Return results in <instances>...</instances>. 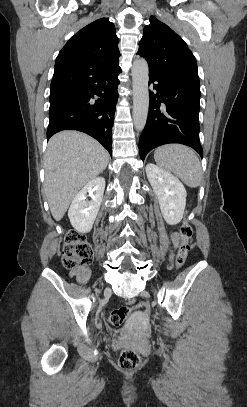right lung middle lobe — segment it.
Masks as SVG:
<instances>
[{"mask_svg":"<svg viewBox=\"0 0 247 407\" xmlns=\"http://www.w3.org/2000/svg\"><path fill=\"white\" fill-rule=\"evenodd\" d=\"M74 90H77V88H75V89H64V90H52L50 92V99H52L54 97H58V96H60L62 94H65V93L72 92Z\"/></svg>","mask_w":247,"mask_h":407,"instance_id":"1","label":"right lung middle lobe"}]
</instances>
